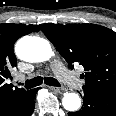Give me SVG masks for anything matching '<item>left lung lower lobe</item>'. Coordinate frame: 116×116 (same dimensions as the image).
Instances as JSON below:
<instances>
[{"label": "left lung lower lobe", "instance_id": "1", "mask_svg": "<svg viewBox=\"0 0 116 116\" xmlns=\"http://www.w3.org/2000/svg\"><path fill=\"white\" fill-rule=\"evenodd\" d=\"M83 106L68 116H116V92L83 88Z\"/></svg>", "mask_w": 116, "mask_h": 116}]
</instances>
